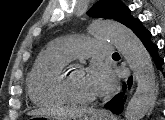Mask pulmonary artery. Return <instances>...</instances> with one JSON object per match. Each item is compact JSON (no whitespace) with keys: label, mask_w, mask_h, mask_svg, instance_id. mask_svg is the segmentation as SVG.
Here are the masks:
<instances>
[{"label":"pulmonary artery","mask_w":165,"mask_h":120,"mask_svg":"<svg viewBox=\"0 0 165 120\" xmlns=\"http://www.w3.org/2000/svg\"><path fill=\"white\" fill-rule=\"evenodd\" d=\"M53 45L70 60L87 55L110 56L113 54L111 43L78 37H61Z\"/></svg>","instance_id":"1"}]
</instances>
